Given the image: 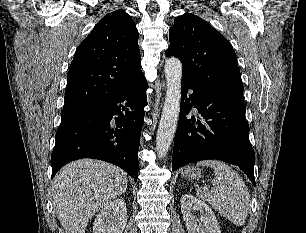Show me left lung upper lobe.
Masks as SVG:
<instances>
[{
  "mask_svg": "<svg viewBox=\"0 0 306 233\" xmlns=\"http://www.w3.org/2000/svg\"><path fill=\"white\" fill-rule=\"evenodd\" d=\"M167 56L183 63L182 79L207 91L243 96L236 54L229 41L202 18L186 13L169 30Z\"/></svg>",
  "mask_w": 306,
  "mask_h": 233,
  "instance_id": "obj_1",
  "label": "left lung upper lobe"
}]
</instances>
